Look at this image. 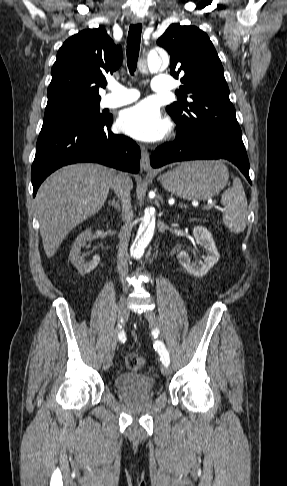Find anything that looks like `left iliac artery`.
Instances as JSON below:
<instances>
[{
    "label": "left iliac artery",
    "instance_id": "left-iliac-artery-1",
    "mask_svg": "<svg viewBox=\"0 0 287 486\" xmlns=\"http://www.w3.org/2000/svg\"><path fill=\"white\" fill-rule=\"evenodd\" d=\"M155 350L159 353L160 355V360L165 366H168L170 364V358H169V353L165 347V344L162 341H156L154 344Z\"/></svg>",
    "mask_w": 287,
    "mask_h": 486
}]
</instances>
